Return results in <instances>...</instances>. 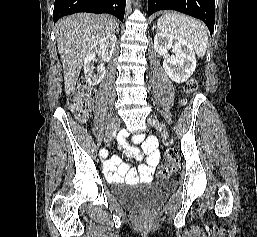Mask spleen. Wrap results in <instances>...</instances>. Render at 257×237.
I'll list each match as a JSON object with an SVG mask.
<instances>
[{
    "label": "spleen",
    "mask_w": 257,
    "mask_h": 237,
    "mask_svg": "<svg viewBox=\"0 0 257 237\" xmlns=\"http://www.w3.org/2000/svg\"><path fill=\"white\" fill-rule=\"evenodd\" d=\"M157 27L163 33L187 41L199 57L205 55L208 34L204 25L199 21L177 13H166L158 19Z\"/></svg>",
    "instance_id": "3e777b00"
}]
</instances>
